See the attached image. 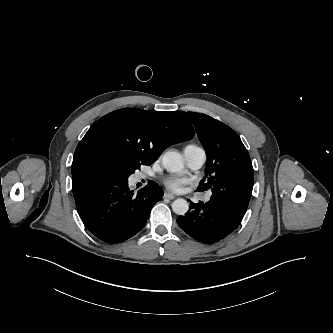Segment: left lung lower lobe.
I'll use <instances>...</instances> for the list:
<instances>
[{"label": "left lung lower lobe", "mask_w": 333, "mask_h": 333, "mask_svg": "<svg viewBox=\"0 0 333 333\" xmlns=\"http://www.w3.org/2000/svg\"><path fill=\"white\" fill-rule=\"evenodd\" d=\"M253 179L251 161L223 172L210 200L206 203L192 202L191 210L178 217V225L200 242L214 243L225 238L239 226L246 213Z\"/></svg>", "instance_id": "0a47b994"}]
</instances>
